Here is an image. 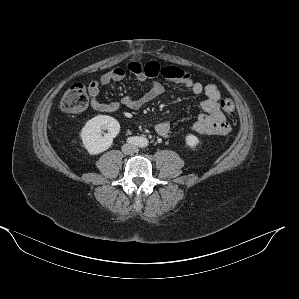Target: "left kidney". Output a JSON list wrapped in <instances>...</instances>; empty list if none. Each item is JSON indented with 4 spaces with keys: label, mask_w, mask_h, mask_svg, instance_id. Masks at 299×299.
Masks as SVG:
<instances>
[{
    "label": "left kidney",
    "mask_w": 299,
    "mask_h": 299,
    "mask_svg": "<svg viewBox=\"0 0 299 299\" xmlns=\"http://www.w3.org/2000/svg\"><path fill=\"white\" fill-rule=\"evenodd\" d=\"M186 145L194 149L199 144V139L193 134H187L185 137Z\"/></svg>",
    "instance_id": "5707ae66"
}]
</instances>
